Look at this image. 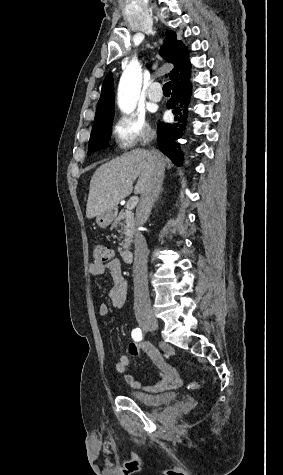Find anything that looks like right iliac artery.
<instances>
[{"instance_id":"obj_1","label":"right iliac artery","mask_w":283,"mask_h":475,"mask_svg":"<svg viewBox=\"0 0 283 475\" xmlns=\"http://www.w3.org/2000/svg\"><path fill=\"white\" fill-rule=\"evenodd\" d=\"M132 338L135 341H141L143 338V334L140 328H136L132 331Z\"/></svg>"}]
</instances>
